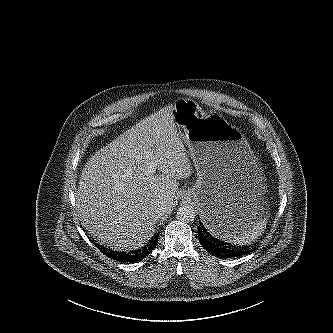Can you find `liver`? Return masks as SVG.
I'll list each match as a JSON object with an SVG mask.
<instances>
[{
    "mask_svg": "<svg viewBox=\"0 0 333 333\" xmlns=\"http://www.w3.org/2000/svg\"><path fill=\"white\" fill-rule=\"evenodd\" d=\"M172 109L141 120L91 156L82 170L77 213L101 243L140 247L164 215L157 214V206L164 204L169 214L177 205L178 180L188 178L192 169Z\"/></svg>",
    "mask_w": 333,
    "mask_h": 333,
    "instance_id": "obj_1",
    "label": "liver"
}]
</instances>
